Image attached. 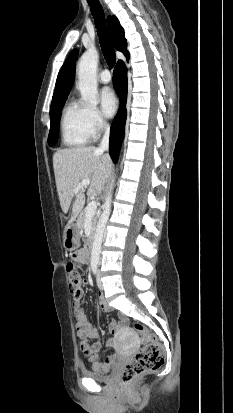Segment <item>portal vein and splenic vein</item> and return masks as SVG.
Instances as JSON below:
<instances>
[{"label": "portal vein and splenic vein", "mask_w": 233, "mask_h": 413, "mask_svg": "<svg viewBox=\"0 0 233 413\" xmlns=\"http://www.w3.org/2000/svg\"><path fill=\"white\" fill-rule=\"evenodd\" d=\"M89 184H90L89 179L82 180L81 183L74 189V192L75 193L79 192L80 189L89 186ZM96 208H97L96 201L94 200L91 201L86 207V218H91L95 214Z\"/></svg>", "instance_id": "portal-vein-and-splenic-vein-1"}]
</instances>
